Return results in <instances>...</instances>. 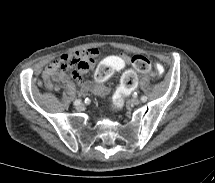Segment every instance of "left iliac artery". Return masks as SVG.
Instances as JSON below:
<instances>
[{
	"label": "left iliac artery",
	"mask_w": 215,
	"mask_h": 183,
	"mask_svg": "<svg viewBox=\"0 0 215 183\" xmlns=\"http://www.w3.org/2000/svg\"><path fill=\"white\" fill-rule=\"evenodd\" d=\"M141 101H142V102H146V101H147V96H145V95L142 96V97H141Z\"/></svg>",
	"instance_id": "44dca946"
}]
</instances>
